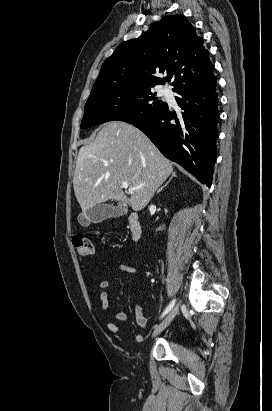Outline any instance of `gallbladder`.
I'll list each match as a JSON object with an SVG mask.
<instances>
[{"label": "gallbladder", "instance_id": "bac80fb5", "mask_svg": "<svg viewBox=\"0 0 272 411\" xmlns=\"http://www.w3.org/2000/svg\"><path fill=\"white\" fill-rule=\"evenodd\" d=\"M127 213V207L119 204H98L79 215L78 221L81 226L88 227L91 223L97 224L110 218H117Z\"/></svg>", "mask_w": 272, "mask_h": 411}]
</instances>
